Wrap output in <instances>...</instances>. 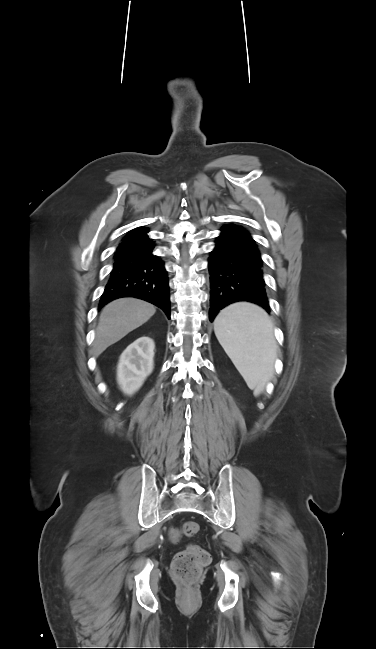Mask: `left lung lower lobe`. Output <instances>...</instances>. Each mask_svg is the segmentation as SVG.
<instances>
[{
  "instance_id": "0a47b994",
  "label": "left lung lower lobe",
  "mask_w": 376,
  "mask_h": 649,
  "mask_svg": "<svg viewBox=\"0 0 376 649\" xmlns=\"http://www.w3.org/2000/svg\"><path fill=\"white\" fill-rule=\"evenodd\" d=\"M263 268L250 234L238 226H223L208 260L211 322L219 310L236 301L256 303L270 313Z\"/></svg>"
}]
</instances>
